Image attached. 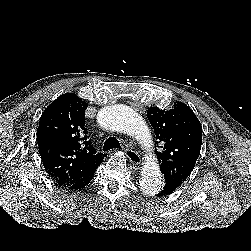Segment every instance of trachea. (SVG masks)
<instances>
[{"instance_id": "obj_1", "label": "trachea", "mask_w": 251, "mask_h": 251, "mask_svg": "<svg viewBox=\"0 0 251 251\" xmlns=\"http://www.w3.org/2000/svg\"><path fill=\"white\" fill-rule=\"evenodd\" d=\"M110 149H121V145L119 143V141L117 140V138L115 137H109L103 146V150L104 151H108Z\"/></svg>"}]
</instances>
